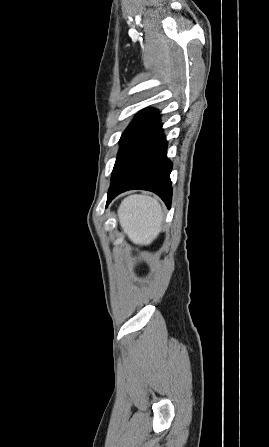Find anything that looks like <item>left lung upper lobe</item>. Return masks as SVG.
Listing matches in <instances>:
<instances>
[{
    "label": "left lung upper lobe",
    "mask_w": 269,
    "mask_h": 447,
    "mask_svg": "<svg viewBox=\"0 0 269 447\" xmlns=\"http://www.w3.org/2000/svg\"><path fill=\"white\" fill-rule=\"evenodd\" d=\"M159 123L160 119L158 112L154 109H146L141 111L130 123L120 139V150L113 168L111 181L116 176L120 167L130 153L153 129L156 128Z\"/></svg>",
    "instance_id": "left-lung-upper-lobe-1"
}]
</instances>
